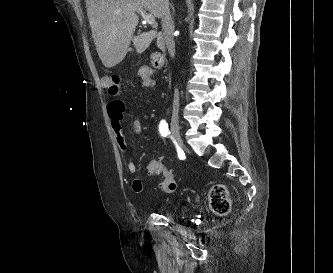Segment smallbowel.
Masks as SVG:
<instances>
[{"mask_svg":"<svg viewBox=\"0 0 333 273\" xmlns=\"http://www.w3.org/2000/svg\"><path fill=\"white\" fill-rule=\"evenodd\" d=\"M153 76H154V67L152 66V62H141V66L139 67L138 70V77H142L146 91L154 90L153 80L151 78ZM103 84L106 87L107 85L106 80H104ZM124 108L125 106L122 101L119 100L112 101L107 106V113L109 116L112 130L114 131L116 136V141L120 146L121 150L123 152H126L127 142L123 134V125H122ZM133 127L137 134H139L142 131L141 118L139 114L135 116V119L133 121ZM126 168L130 174H135L137 171V166L135 162H133L132 160L127 161ZM151 176H158V175H151ZM132 190L136 193L143 192L144 185L140 178L133 179Z\"/></svg>","mask_w":333,"mask_h":273,"instance_id":"c3829d8e","label":"small bowel"}]
</instances>
